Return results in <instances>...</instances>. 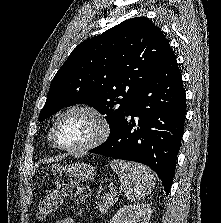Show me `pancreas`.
I'll return each instance as SVG.
<instances>
[{
	"instance_id": "cf45deb5",
	"label": "pancreas",
	"mask_w": 221,
	"mask_h": 223,
	"mask_svg": "<svg viewBox=\"0 0 221 223\" xmlns=\"http://www.w3.org/2000/svg\"><path fill=\"white\" fill-rule=\"evenodd\" d=\"M117 194L111 193L107 194L102 198V202L98 203V209L101 214H105L108 209L115 204L117 201Z\"/></svg>"
}]
</instances>
